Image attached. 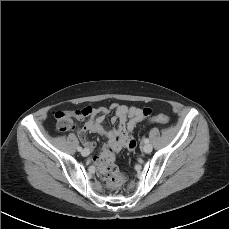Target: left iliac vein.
<instances>
[{"label": "left iliac vein", "instance_id": "left-iliac-vein-1", "mask_svg": "<svg viewBox=\"0 0 229 229\" xmlns=\"http://www.w3.org/2000/svg\"><path fill=\"white\" fill-rule=\"evenodd\" d=\"M152 145L151 144H145L144 146H143V151L145 152V153H150L151 151H152Z\"/></svg>", "mask_w": 229, "mask_h": 229}]
</instances>
